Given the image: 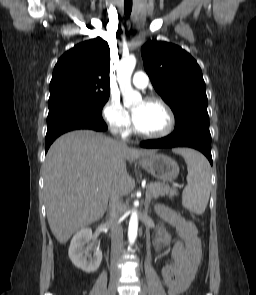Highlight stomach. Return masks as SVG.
Returning a JSON list of instances; mask_svg holds the SVG:
<instances>
[{
    "mask_svg": "<svg viewBox=\"0 0 256 295\" xmlns=\"http://www.w3.org/2000/svg\"><path fill=\"white\" fill-rule=\"evenodd\" d=\"M141 166L158 180L166 182L177 178L179 165L169 156L154 153L139 160Z\"/></svg>",
    "mask_w": 256,
    "mask_h": 295,
    "instance_id": "stomach-1",
    "label": "stomach"
}]
</instances>
